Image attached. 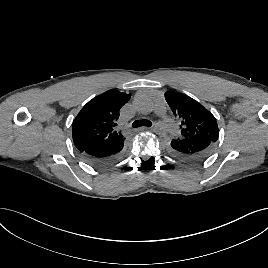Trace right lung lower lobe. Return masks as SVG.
Segmentation results:
<instances>
[{
  "mask_svg": "<svg viewBox=\"0 0 268 268\" xmlns=\"http://www.w3.org/2000/svg\"><path fill=\"white\" fill-rule=\"evenodd\" d=\"M124 141L108 147H95L87 150H79L80 153L91 163L104 165L116 161L122 153Z\"/></svg>",
  "mask_w": 268,
  "mask_h": 268,
  "instance_id": "right-lung-lower-lobe-1",
  "label": "right lung lower lobe"
}]
</instances>
